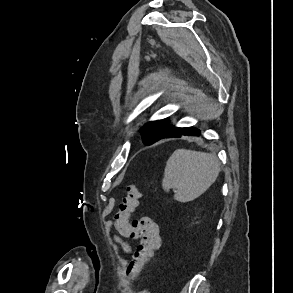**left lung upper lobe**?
<instances>
[{"label":"left lung upper lobe","mask_w":293,"mask_h":293,"mask_svg":"<svg viewBox=\"0 0 293 293\" xmlns=\"http://www.w3.org/2000/svg\"><path fill=\"white\" fill-rule=\"evenodd\" d=\"M174 126L168 123V118L163 120L152 121L141 129V136L145 145H151L165 137L172 131Z\"/></svg>","instance_id":"5c2ea615"}]
</instances>
